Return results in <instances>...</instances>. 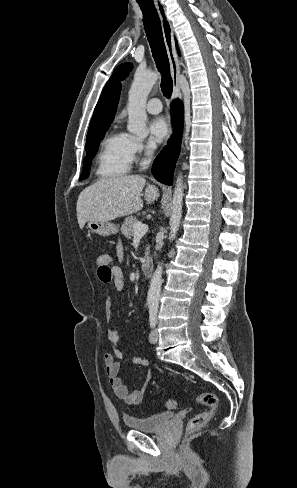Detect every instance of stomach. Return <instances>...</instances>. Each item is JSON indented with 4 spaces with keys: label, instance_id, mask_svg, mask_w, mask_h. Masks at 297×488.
<instances>
[{
    "label": "stomach",
    "instance_id": "obj_1",
    "mask_svg": "<svg viewBox=\"0 0 297 488\" xmlns=\"http://www.w3.org/2000/svg\"><path fill=\"white\" fill-rule=\"evenodd\" d=\"M87 227L101 236H109L118 233V227L111 222L88 221Z\"/></svg>",
    "mask_w": 297,
    "mask_h": 488
}]
</instances>
